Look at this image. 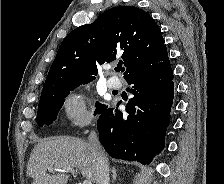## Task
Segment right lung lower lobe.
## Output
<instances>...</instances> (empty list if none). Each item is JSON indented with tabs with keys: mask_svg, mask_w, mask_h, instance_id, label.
<instances>
[{
	"mask_svg": "<svg viewBox=\"0 0 224 184\" xmlns=\"http://www.w3.org/2000/svg\"><path fill=\"white\" fill-rule=\"evenodd\" d=\"M126 81L133 85L134 97L124 113L103 106L97 120L100 142L114 158L149 164L164 148L174 97L173 71L168 63Z\"/></svg>",
	"mask_w": 224,
	"mask_h": 184,
	"instance_id": "obj_1",
	"label": "right lung lower lobe"
}]
</instances>
